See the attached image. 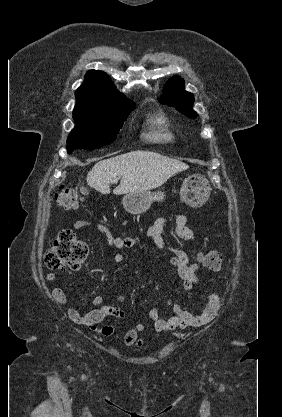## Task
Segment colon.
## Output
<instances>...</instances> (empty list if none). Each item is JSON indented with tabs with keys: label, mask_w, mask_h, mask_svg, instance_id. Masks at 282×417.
I'll list each match as a JSON object with an SVG mask.
<instances>
[{
	"label": "colon",
	"mask_w": 282,
	"mask_h": 417,
	"mask_svg": "<svg viewBox=\"0 0 282 417\" xmlns=\"http://www.w3.org/2000/svg\"><path fill=\"white\" fill-rule=\"evenodd\" d=\"M56 199L60 207L73 209L78 204L79 196L72 189L60 187L56 192ZM88 253L84 242L73 237L70 230H64L51 240L44 259L45 266L55 271L78 268L87 259ZM200 261L211 271L219 270L222 265V257L217 251L202 254Z\"/></svg>",
	"instance_id": "colon-1"
}]
</instances>
